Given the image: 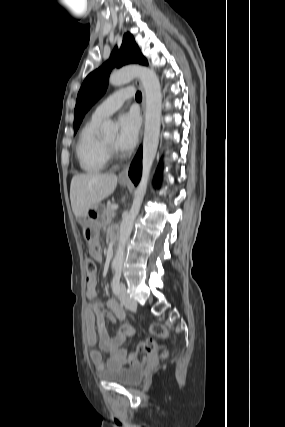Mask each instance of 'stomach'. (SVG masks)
Segmentation results:
<instances>
[{
	"instance_id": "stomach-1",
	"label": "stomach",
	"mask_w": 285,
	"mask_h": 427,
	"mask_svg": "<svg viewBox=\"0 0 285 427\" xmlns=\"http://www.w3.org/2000/svg\"><path fill=\"white\" fill-rule=\"evenodd\" d=\"M103 214V206L97 205L89 209L82 216L83 235L87 242H92L98 238L99 229L102 226Z\"/></svg>"
}]
</instances>
